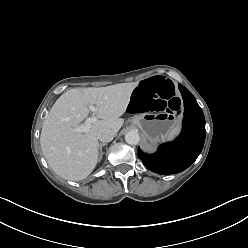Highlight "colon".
Listing matches in <instances>:
<instances>
[{
  "mask_svg": "<svg viewBox=\"0 0 248 248\" xmlns=\"http://www.w3.org/2000/svg\"><path fill=\"white\" fill-rule=\"evenodd\" d=\"M181 100L175 92L174 85L163 78L156 77L136 86L128 109L132 113L166 112L179 110Z\"/></svg>",
  "mask_w": 248,
  "mask_h": 248,
  "instance_id": "5ec220e1",
  "label": "colon"
}]
</instances>
